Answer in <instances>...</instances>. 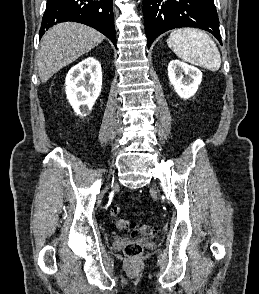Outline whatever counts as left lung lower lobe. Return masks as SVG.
Returning a JSON list of instances; mask_svg holds the SVG:
<instances>
[{
  "mask_svg": "<svg viewBox=\"0 0 259 294\" xmlns=\"http://www.w3.org/2000/svg\"><path fill=\"white\" fill-rule=\"evenodd\" d=\"M143 13L148 49L160 34L180 27L203 29L221 43L213 0H143Z\"/></svg>",
  "mask_w": 259,
  "mask_h": 294,
  "instance_id": "obj_1",
  "label": "left lung lower lobe"
}]
</instances>
